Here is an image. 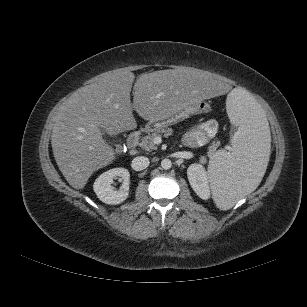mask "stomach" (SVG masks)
Masks as SVG:
<instances>
[{"label": "stomach", "mask_w": 307, "mask_h": 307, "mask_svg": "<svg viewBox=\"0 0 307 307\" xmlns=\"http://www.w3.org/2000/svg\"><path fill=\"white\" fill-rule=\"evenodd\" d=\"M209 109V104L201 100L196 103L190 104L169 116L155 117L149 119L148 123L146 124V129L147 131H156L161 128H166L170 125L176 124L188 118L191 115L208 112Z\"/></svg>", "instance_id": "1"}]
</instances>
